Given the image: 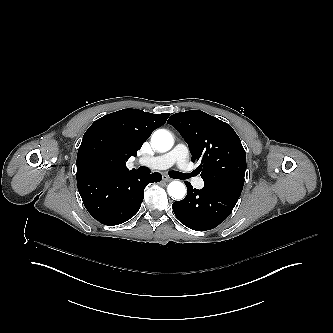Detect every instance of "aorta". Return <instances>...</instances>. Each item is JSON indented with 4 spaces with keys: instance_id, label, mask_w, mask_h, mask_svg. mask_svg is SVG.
I'll list each match as a JSON object with an SVG mask.
<instances>
[{
    "instance_id": "1",
    "label": "aorta",
    "mask_w": 333,
    "mask_h": 333,
    "mask_svg": "<svg viewBox=\"0 0 333 333\" xmlns=\"http://www.w3.org/2000/svg\"><path fill=\"white\" fill-rule=\"evenodd\" d=\"M152 146L159 152H166L173 145L172 135L165 129L155 131L151 138ZM168 194L175 199H182L185 196V185L180 181H171L167 187Z\"/></svg>"
}]
</instances>
